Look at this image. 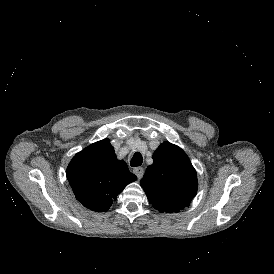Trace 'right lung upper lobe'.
Returning <instances> with one entry per match:
<instances>
[{
	"label": "right lung upper lobe",
	"mask_w": 274,
	"mask_h": 274,
	"mask_svg": "<svg viewBox=\"0 0 274 274\" xmlns=\"http://www.w3.org/2000/svg\"><path fill=\"white\" fill-rule=\"evenodd\" d=\"M66 176L77 200L96 212L107 211L126 185L137 179L123 160H117L109 139L77 153Z\"/></svg>",
	"instance_id": "obj_1"
}]
</instances>
